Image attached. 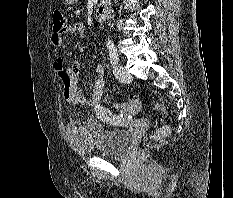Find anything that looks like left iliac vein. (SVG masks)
Returning a JSON list of instances; mask_svg holds the SVG:
<instances>
[{"instance_id": "4c4485c4", "label": "left iliac vein", "mask_w": 233, "mask_h": 198, "mask_svg": "<svg viewBox=\"0 0 233 198\" xmlns=\"http://www.w3.org/2000/svg\"><path fill=\"white\" fill-rule=\"evenodd\" d=\"M113 73L115 77L121 82H129L132 79L131 75L120 64L114 66Z\"/></svg>"}]
</instances>
